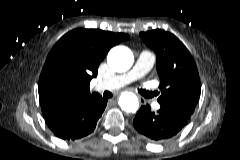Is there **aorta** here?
<instances>
[{
    "label": "aorta",
    "mask_w": 240,
    "mask_h": 160,
    "mask_svg": "<svg viewBox=\"0 0 240 160\" xmlns=\"http://www.w3.org/2000/svg\"><path fill=\"white\" fill-rule=\"evenodd\" d=\"M134 56L132 51L125 46L112 48L107 56L108 66L115 72H125L133 64ZM119 106L125 112H136L139 107L137 96L131 92H124L119 98Z\"/></svg>",
    "instance_id": "1"
}]
</instances>
